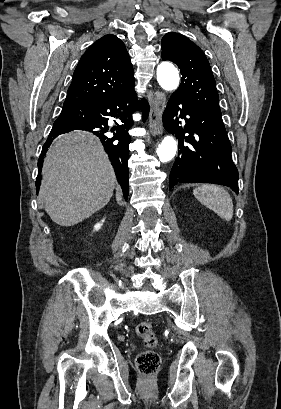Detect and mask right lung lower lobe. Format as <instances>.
Here are the masks:
<instances>
[{"label": "right lung lower lobe", "mask_w": 281, "mask_h": 409, "mask_svg": "<svg viewBox=\"0 0 281 409\" xmlns=\"http://www.w3.org/2000/svg\"><path fill=\"white\" fill-rule=\"evenodd\" d=\"M136 93L134 88L122 93L118 96L101 100L89 104H67L63 105L60 116H76L81 118L79 123L75 124H54L48 136L46 143L43 146L41 156L38 160L39 173L36 180L37 193L39 190V180L41 176L43 156L50 146L52 140L58 135L69 132L74 129L91 131L99 137L105 151L108 153L112 165L115 169L117 180L120 183L125 199L128 197V145L131 142V137L128 130L132 127L133 121L131 113L136 107ZM141 109L144 118L147 117L149 107L146 101L141 103ZM110 118H119L122 124L109 127L108 120ZM113 132V134H111Z\"/></svg>", "instance_id": "1"}]
</instances>
